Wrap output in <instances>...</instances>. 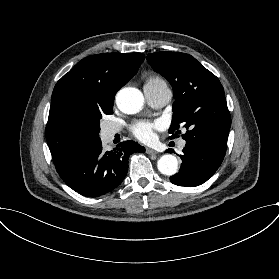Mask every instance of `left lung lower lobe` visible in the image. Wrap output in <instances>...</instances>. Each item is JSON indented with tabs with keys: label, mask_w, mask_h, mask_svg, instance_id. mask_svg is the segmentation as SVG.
Segmentation results:
<instances>
[{
	"label": "left lung lower lobe",
	"mask_w": 279,
	"mask_h": 279,
	"mask_svg": "<svg viewBox=\"0 0 279 279\" xmlns=\"http://www.w3.org/2000/svg\"><path fill=\"white\" fill-rule=\"evenodd\" d=\"M226 145L208 139L186 141L179 172L170 181L179 186L194 187L206 182L219 168Z\"/></svg>",
	"instance_id": "1"
}]
</instances>
